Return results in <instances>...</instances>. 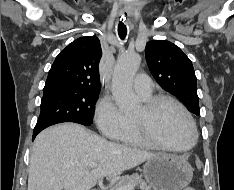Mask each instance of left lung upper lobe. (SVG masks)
I'll return each mask as SVG.
<instances>
[{
  "label": "left lung upper lobe",
  "mask_w": 234,
  "mask_h": 190,
  "mask_svg": "<svg viewBox=\"0 0 234 190\" xmlns=\"http://www.w3.org/2000/svg\"><path fill=\"white\" fill-rule=\"evenodd\" d=\"M145 55L158 84L178 97L190 112L199 115L197 78L192 62L181 49L166 40H152L146 45Z\"/></svg>",
  "instance_id": "left-lung-upper-lobe-1"
}]
</instances>
